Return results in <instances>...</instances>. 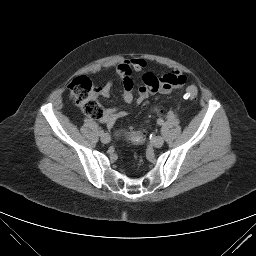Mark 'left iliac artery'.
Wrapping results in <instances>:
<instances>
[{"label": "left iliac artery", "instance_id": "obj_1", "mask_svg": "<svg viewBox=\"0 0 256 256\" xmlns=\"http://www.w3.org/2000/svg\"><path fill=\"white\" fill-rule=\"evenodd\" d=\"M163 122H164V121H163L162 119H158V120H157V123H158L159 125H162Z\"/></svg>", "mask_w": 256, "mask_h": 256}]
</instances>
